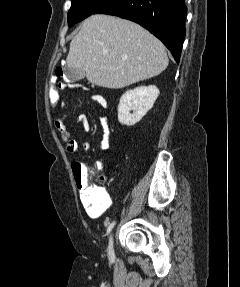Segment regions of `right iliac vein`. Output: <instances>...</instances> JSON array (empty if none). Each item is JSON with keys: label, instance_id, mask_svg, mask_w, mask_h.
Listing matches in <instances>:
<instances>
[{"label": "right iliac vein", "instance_id": "obj_1", "mask_svg": "<svg viewBox=\"0 0 240 287\" xmlns=\"http://www.w3.org/2000/svg\"><path fill=\"white\" fill-rule=\"evenodd\" d=\"M108 253H109V255H113L114 254V239H113V235H110V237H109Z\"/></svg>", "mask_w": 240, "mask_h": 287}]
</instances>
